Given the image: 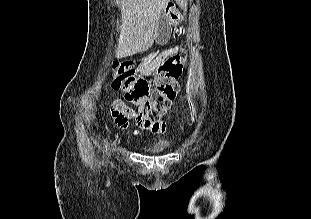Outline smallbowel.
<instances>
[{
	"mask_svg": "<svg viewBox=\"0 0 311 219\" xmlns=\"http://www.w3.org/2000/svg\"><path fill=\"white\" fill-rule=\"evenodd\" d=\"M182 46H175L165 50L157 58H155L150 63L141 67L140 71L144 75H149L155 71L168 57L174 55L175 53L181 51ZM111 115L115 120L117 126L121 129H126L129 127L130 121H133L137 128L148 130L154 134L163 135L167 131L166 123L164 122H152L143 118L140 114L136 113L135 110L125 105L121 101H115L112 109Z\"/></svg>",
	"mask_w": 311,
	"mask_h": 219,
	"instance_id": "small-bowel-1",
	"label": "small bowel"
}]
</instances>
